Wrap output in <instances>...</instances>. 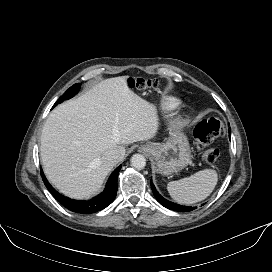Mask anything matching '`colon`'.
<instances>
[{"instance_id":"1","label":"colon","mask_w":272,"mask_h":272,"mask_svg":"<svg viewBox=\"0 0 272 272\" xmlns=\"http://www.w3.org/2000/svg\"><path fill=\"white\" fill-rule=\"evenodd\" d=\"M130 86L140 90L158 88L160 83L148 79H131ZM224 133L223 123L219 118L212 117L199 122L194 128L193 136L198 150L201 152L202 159L206 163H213L219 156V150L214 147H207L216 138Z\"/></svg>"}]
</instances>
